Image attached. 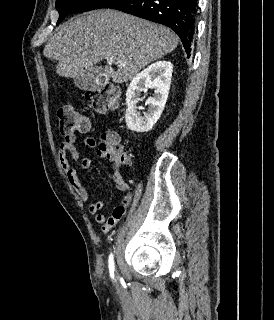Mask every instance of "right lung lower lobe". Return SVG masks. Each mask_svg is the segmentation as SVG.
<instances>
[{"mask_svg":"<svg viewBox=\"0 0 274 320\" xmlns=\"http://www.w3.org/2000/svg\"><path fill=\"white\" fill-rule=\"evenodd\" d=\"M111 8L173 29L180 37L188 57L195 34L197 0H112Z\"/></svg>","mask_w":274,"mask_h":320,"instance_id":"obj_1","label":"right lung lower lobe"}]
</instances>
